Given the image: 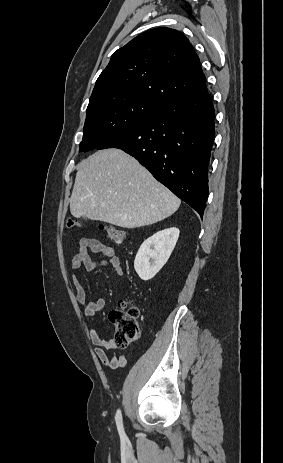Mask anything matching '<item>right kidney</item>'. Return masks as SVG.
<instances>
[{"instance_id": "ca27d5eb", "label": "right kidney", "mask_w": 283, "mask_h": 463, "mask_svg": "<svg viewBox=\"0 0 283 463\" xmlns=\"http://www.w3.org/2000/svg\"><path fill=\"white\" fill-rule=\"evenodd\" d=\"M179 233L178 228L172 227L155 233L143 242L134 261L135 271L142 280L152 279L166 264Z\"/></svg>"}]
</instances>
